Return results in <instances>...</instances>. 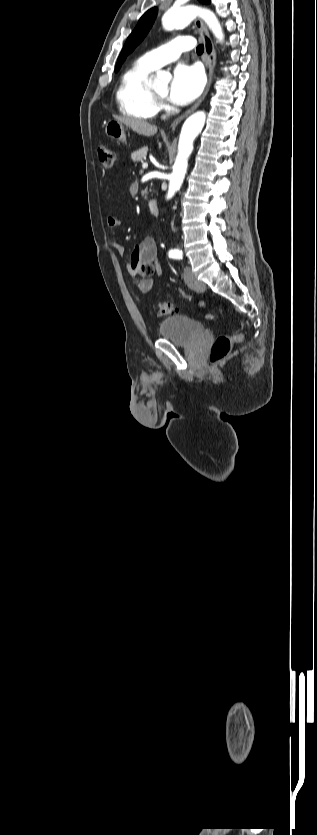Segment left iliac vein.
I'll use <instances>...</instances> for the list:
<instances>
[{"label":"left iliac vein","instance_id":"left-iliac-vein-1","mask_svg":"<svg viewBox=\"0 0 317 835\" xmlns=\"http://www.w3.org/2000/svg\"><path fill=\"white\" fill-rule=\"evenodd\" d=\"M184 280L188 287L194 291L202 292L206 288L205 284L199 281L188 267L184 271Z\"/></svg>","mask_w":317,"mask_h":835}]
</instances>
